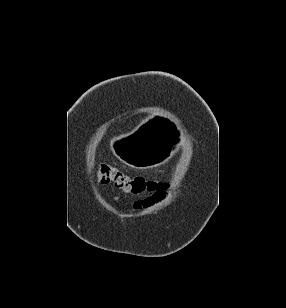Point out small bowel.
Masks as SVG:
<instances>
[{
	"mask_svg": "<svg viewBox=\"0 0 286 308\" xmlns=\"http://www.w3.org/2000/svg\"><path fill=\"white\" fill-rule=\"evenodd\" d=\"M159 197H151L144 200H136L133 203L135 209H141L143 207H147L158 201Z\"/></svg>",
	"mask_w": 286,
	"mask_h": 308,
	"instance_id": "c3829d8e",
	"label": "small bowel"
}]
</instances>
